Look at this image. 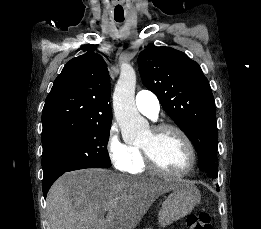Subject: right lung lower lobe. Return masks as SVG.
I'll use <instances>...</instances> for the list:
<instances>
[{
    "label": "right lung lower lobe",
    "instance_id": "obj_1",
    "mask_svg": "<svg viewBox=\"0 0 261 229\" xmlns=\"http://www.w3.org/2000/svg\"><path fill=\"white\" fill-rule=\"evenodd\" d=\"M64 173L65 172L55 173V174L50 175L43 179L42 187H43L44 198H46L47 192H48L49 188L51 187V185L56 181L57 178H59Z\"/></svg>",
    "mask_w": 261,
    "mask_h": 229
}]
</instances>
